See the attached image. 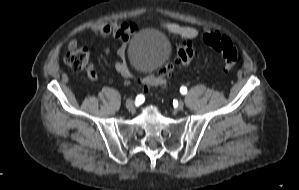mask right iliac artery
Wrapping results in <instances>:
<instances>
[{
  "label": "right iliac artery",
  "instance_id": "obj_1",
  "mask_svg": "<svg viewBox=\"0 0 299 190\" xmlns=\"http://www.w3.org/2000/svg\"><path fill=\"white\" fill-rule=\"evenodd\" d=\"M144 100V96L143 95H138L137 98H136V102H141Z\"/></svg>",
  "mask_w": 299,
  "mask_h": 190
}]
</instances>
